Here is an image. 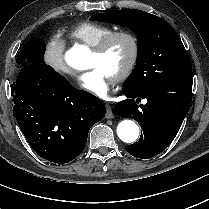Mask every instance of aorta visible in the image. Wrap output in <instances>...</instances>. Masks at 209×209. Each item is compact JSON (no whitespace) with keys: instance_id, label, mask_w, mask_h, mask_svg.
Returning a JSON list of instances; mask_svg holds the SVG:
<instances>
[{"instance_id":"1","label":"aorta","mask_w":209,"mask_h":209,"mask_svg":"<svg viewBox=\"0 0 209 209\" xmlns=\"http://www.w3.org/2000/svg\"><path fill=\"white\" fill-rule=\"evenodd\" d=\"M89 49L85 45H74L65 53L66 63L77 70L88 68ZM118 137L126 143L136 141L139 136V127L132 120H123L117 126Z\"/></svg>"}]
</instances>
